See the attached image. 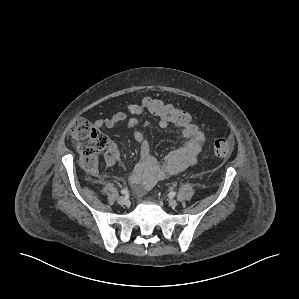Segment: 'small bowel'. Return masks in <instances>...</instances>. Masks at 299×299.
I'll use <instances>...</instances> for the list:
<instances>
[{"label": "small bowel", "mask_w": 299, "mask_h": 299, "mask_svg": "<svg viewBox=\"0 0 299 299\" xmlns=\"http://www.w3.org/2000/svg\"><path fill=\"white\" fill-rule=\"evenodd\" d=\"M146 112L147 110L142 102L130 103L127 104L125 111L117 112L96 122L98 127L107 129L125 123L134 140L140 145L139 161L129 177L132 188L139 195L144 194L158 181L178 174L194 165L202 151L205 140L201 129L192 121L184 126H176L180 129V137L184 139V144L170 151L160 162L151 153L150 143L145 134L137 129L139 125H142L145 129L150 126L148 121L141 120L142 115ZM157 121L160 128L164 129L171 126L163 120L157 119ZM103 158L107 166H113L117 163L119 149L116 143L110 142L108 144Z\"/></svg>", "instance_id": "small-bowel-1"}]
</instances>
